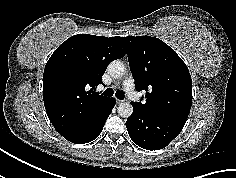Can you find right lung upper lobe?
<instances>
[{"label": "right lung upper lobe", "mask_w": 236, "mask_h": 178, "mask_svg": "<svg viewBox=\"0 0 236 178\" xmlns=\"http://www.w3.org/2000/svg\"><path fill=\"white\" fill-rule=\"evenodd\" d=\"M127 52L124 37L78 34L63 42L48 60L43 76V100L54 128L63 136L96 124L112 98L99 95L108 64Z\"/></svg>", "instance_id": "obj_1"}]
</instances>
